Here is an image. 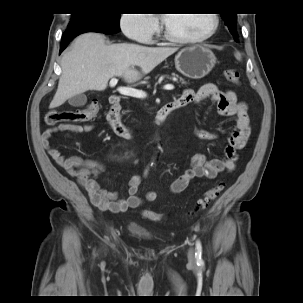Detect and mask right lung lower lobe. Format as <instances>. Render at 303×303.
<instances>
[{
	"label": "right lung lower lobe",
	"instance_id": "obj_1",
	"mask_svg": "<svg viewBox=\"0 0 303 303\" xmlns=\"http://www.w3.org/2000/svg\"><path fill=\"white\" fill-rule=\"evenodd\" d=\"M120 31L119 25L106 23H89L66 30L62 36L60 53L68 46L72 39L86 32H99L105 34H114Z\"/></svg>",
	"mask_w": 303,
	"mask_h": 303
}]
</instances>
